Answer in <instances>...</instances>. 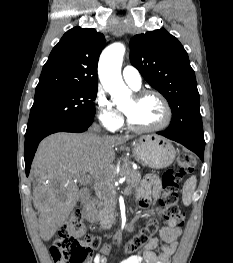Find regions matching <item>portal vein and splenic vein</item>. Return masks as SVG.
<instances>
[{"mask_svg": "<svg viewBox=\"0 0 233 263\" xmlns=\"http://www.w3.org/2000/svg\"><path fill=\"white\" fill-rule=\"evenodd\" d=\"M81 184L87 185L91 183V177L89 175L81 176L78 180Z\"/></svg>", "mask_w": 233, "mask_h": 263, "instance_id": "1", "label": "portal vein and splenic vein"}]
</instances>
